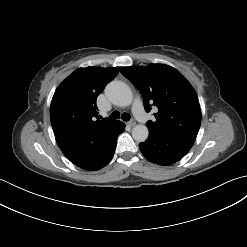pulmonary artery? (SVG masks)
<instances>
[{
	"label": "pulmonary artery",
	"instance_id": "e3ab8cb5",
	"mask_svg": "<svg viewBox=\"0 0 247 247\" xmlns=\"http://www.w3.org/2000/svg\"><path fill=\"white\" fill-rule=\"evenodd\" d=\"M133 113L135 118L141 123H145L149 119L148 114L144 111L142 100L140 98L135 100Z\"/></svg>",
	"mask_w": 247,
	"mask_h": 247
}]
</instances>
